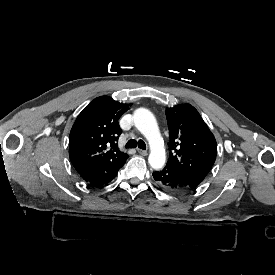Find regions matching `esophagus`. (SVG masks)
Here are the masks:
<instances>
[{
    "label": "esophagus",
    "instance_id": "1",
    "mask_svg": "<svg viewBox=\"0 0 275 275\" xmlns=\"http://www.w3.org/2000/svg\"><path fill=\"white\" fill-rule=\"evenodd\" d=\"M137 151H138L139 154H141V155H143V156H147V154H148L147 151L142 150V149H140V148H138Z\"/></svg>",
    "mask_w": 275,
    "mask_h": 275
}]
</instances>
